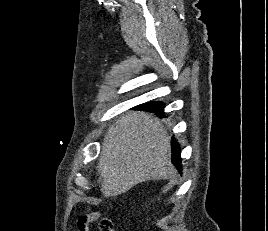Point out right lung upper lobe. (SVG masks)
Here are the masks:
<instances>
[{"mask_svg": "<svg viewBox=\"0 0 268 231\" xmlns=\"http://www.w3.org/2000/svg\"><path fill=\"white\" fill-rule=\"evenodd\" d=\"M140 106L151 111H159V110H163L164 108V105L160 102H149Z\"/></svg>", "mask_w": 268, "mask_h": 231, "instance_id": "1", "label": "right lung upper lobe"}]
</instances>
